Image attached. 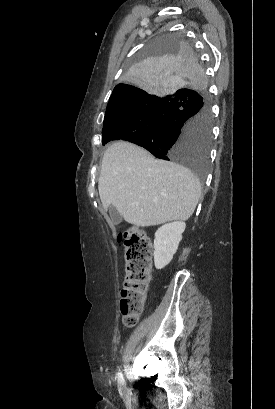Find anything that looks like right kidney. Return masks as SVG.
Masks as SVG:
<instances>
[{
    "label": "right kidney",
    "instance_id": "ca27d5eb",
    "mask_svg": "<svg viewBox=\"0 0 275 409\" xmlns=\"http://www.w3.org/2000/svg\"><path fill=\"white\" fill-rule=\"evenodd\" d=\"M185 229V223L176 221V223L163 225L156 231L154 239V265L156 269H164L172 261Z\"/></svg>",
    "mask_w": 275,
    "mask_h": 409
}]
</instances>
